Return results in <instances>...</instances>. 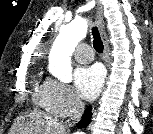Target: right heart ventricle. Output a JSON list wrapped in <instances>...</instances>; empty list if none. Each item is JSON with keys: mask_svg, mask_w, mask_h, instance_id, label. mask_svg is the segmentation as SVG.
<instances>
[{"mask_svg": "<svg viewBox=\"0 0 153 134\" xmlns=\"http://www.w3.org/2000/svg\"><path fill=\"white\" fill-rule=\"evenodd\" d=\"M46 85L47 80H42L40 77L35 80L33 85V100L43 107L46 98Z\"/></svg>", "mask_w": 153, "mask_h": 134, "instance_id": "right-heart-ventricle-1", "label": "right heart ventricle"}]
</instances>
